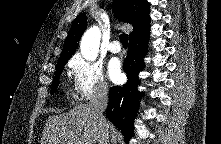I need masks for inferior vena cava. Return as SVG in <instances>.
Here are the masks:
<instances>
[{
	"label": "inferior vena cava",
	"instance_id": "1",
	"mask_svg": "<svg viewBox=\"0 0 221 144\" xmlns=\"http://www.w3.org/2000/svg\"><path fill=\"white\" fill-rule=\"evenodd\" d=\"M107 105L108 86L106 84H101L89 102V107L100 128L98 144H108L109 141L108 124L103 114Z\"/></svg>",
	"mask_w": 221,
	"mask_h": 144
}]
</instances>
